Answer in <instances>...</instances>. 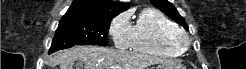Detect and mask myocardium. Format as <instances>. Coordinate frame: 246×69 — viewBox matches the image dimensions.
<instances>
[{
  "label": "myocardium",
  "instance_id": "1",
  "mask_svg": "<svg viewBox=\"0 0 246 69\" xmlns=\"http://www.w3.org/2000/svg\"><path fill=\"white\" fill-rule=\"evenodd\" d=\"M174 36L179 43H181L185 46L188 45L189 38H188L187 34L184 31H182L181 29H177Z\"/></svg>",
  "mask_w": 246,
  "mask_h": 69
}]
</instances>
